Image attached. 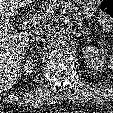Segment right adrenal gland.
Returning a JSON list of instances; mask_svg holds the SVG:
<instances>
[{"instance_id": "obj_1", "label": "right adrenal gland", "mask_w": 113, "mask_h": 113, "mask_svg": "<svg viewBox=\"0 0 113 113\" xmlns=\"http://www.w3.org/2000/svg\"><path fill=\"white\" fill-rule=\"evenodd\" d=\"M40 38H41V36H35V37H33L32 42L34 43L35 41H38Z\"/></svg>"}]
</instances>
